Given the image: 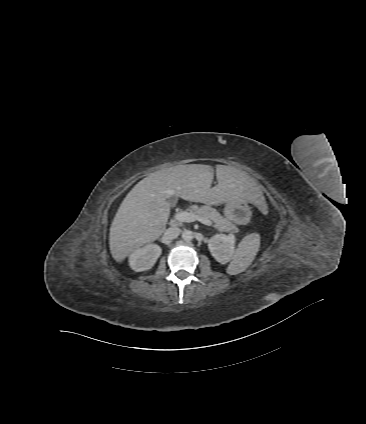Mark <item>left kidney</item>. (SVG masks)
Returning <instances> with one entry per match:
<instances>
[{
  "label": "left kidney",
  "mask_w": 366,
  "mask_h": 424,
  "mask_svg": "<svg viewBox=\"0 0 366 424\" xmlns=\"http://www.w3.org/2000/svg\"><path fill=\"white\" fill-rule=\"evenodd\" d=\"M235 236L216 234L209 239L208 248L212 256L221 264L229 262L235 251Z\"/></svg>",
  "instance_id": "1"
}]
</instances>
